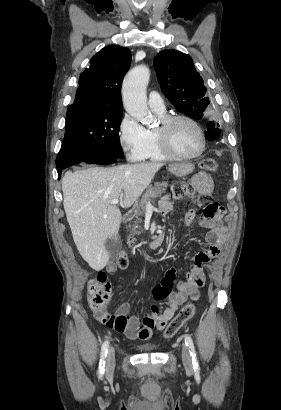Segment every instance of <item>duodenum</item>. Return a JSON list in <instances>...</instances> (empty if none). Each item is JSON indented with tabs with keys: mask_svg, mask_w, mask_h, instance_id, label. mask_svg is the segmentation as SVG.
<instances>
[{
	"mask_svg": "<svg viewBox=\"0 0 281 410\" xmlns=\"http://www.w3.org/2000/svg\"><path fill=\"white\" fill-rule=\"evenodd\" d=\"M135 211L133 209L128 210L124 215H123V221L124 222H129L130 220H132V218L134 217ZM163 242V237L159 236L156 239L150 241L147 243V246L150 249H158L161 244Z\"/></svg>",
	"mask_w": 281,
	"mask_h": 410,
	"instance_id": "obj_1",
	"label": "duodenum"
}]
</instances>
